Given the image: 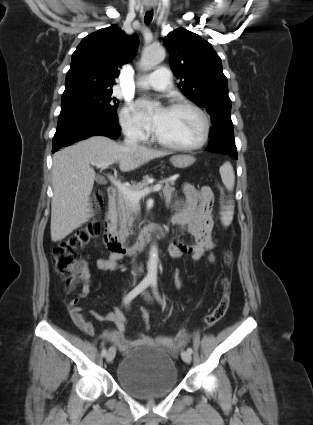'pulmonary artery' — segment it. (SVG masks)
Wrapping results in <instances>:
<instances>
[{
    "mask_svg": "<svg viewBox=\"0 0 313 425\" xmlns=\"http://www.w3.org/2000/svg\"><path fill=\"white\" fill-rule=\"evenodd\" d=\"M139 85L155 90H165L171 86V73L165 67L156 69L153 73L143 77Z\"/></svg>",
    "mask_w": 313,
    "mask_h": 425,
    "instance_id": "obj_1",
    "label": "pulmonary artery"
}]
</instances>
